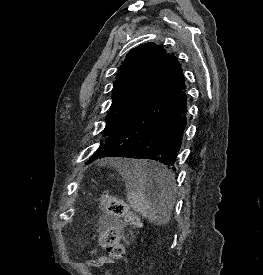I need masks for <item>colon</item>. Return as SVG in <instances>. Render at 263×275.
<instances>
[{
	"label": "colon",
	"mask_w": 263,
	"mask_h": 275,
	"mask_svg": "<svg viewBox=\"0 0 263 275\" xmlns=\"http://www.w3.org/2000/svg\"><path fill=\"white\" fill-rule=\"evenodd\" d=\"M100 202L107 214L117 222L126 223L134 227L141 225L140 217L131 212L127 204L119 196L103 192L100 195ZM98 242L105 250L106 255L97 256L88 260L86 263L88 267L100 268L107 263H112L124 258L125 247L114 228L107 227L101 230L98 235Z\"/></svg>",
	"instance_id": "1"
}]
</instances>
